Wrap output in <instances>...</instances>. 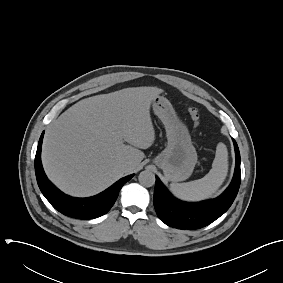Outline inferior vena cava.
<instances>
[{
  "label": "inferior vena cava",
  "instance_id": "obj_1",
  "mask_svg": "<svg viewBox=\"0 0 283 283\" xmlns=\"http://www.w3.org/2000/svg\"><path fill=\"white\" fill-rule=\"evenodd\" d=\"M129 163L128 162H125V163H123L122 165H121V168L123 169V170H126V169H128V167H129Z\"/></svg>",
  "mask_w": 283,
  "mask_h": 283
}]
</instances>
